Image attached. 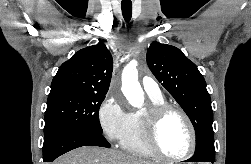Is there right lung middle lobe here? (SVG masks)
I'll use <instances>...</instances> for the list:
<instances>
[{
	"label": "right lung middle lobe",
	"mask_w": 251,
	"mask_h": 164,
	"mask_svg": "<svg viewBox=\"0 0 251 164\" xmlns=\"http://www.w3.org/2000/svg\"><path fill=\"white\" fill-rule=\"evenodd\" d=\"M105 94L75 91L50 92L44 132L56 126L84 128L102 133L99 108Z\"/></svg>",
	"instance_id": "dd1d6c3e"
}]
</instances>
